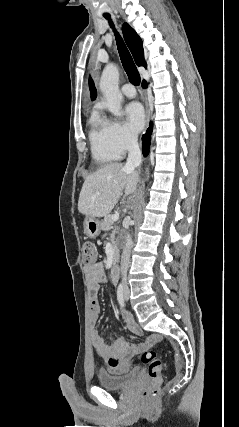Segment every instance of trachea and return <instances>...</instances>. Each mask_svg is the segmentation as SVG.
I'll list each match as a JSON object with an SVG mask.
<instances>
[{"mask_svg":"<svg viewBox=\"0 0 239 427\" xmlns=\"http://www.w3.org/2000/svg\"><path fill=\"white\" fill-rule=\"evenodd\" d=\"M106 19L109 20L111 27H113V23L110 21V16L109 15H105L104 16ZM116 41H117V46H118V51H119V55H120V59L122 62V65L127 73V76L130 80V82L134 85H139L140 84V74L133 62V59L127 49V47L125 46L123 40L121 39L120 35L116 32Z\"/></svg>","mask_w":239,"mask_h":427,"instance_id":"obj_1","label":"trachea"}]
</instances>
